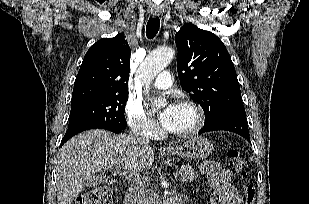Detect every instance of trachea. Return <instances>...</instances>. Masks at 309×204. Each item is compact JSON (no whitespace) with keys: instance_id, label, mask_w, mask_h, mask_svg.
Here are the masks:
<instances>
[{"instance_id":"obj_1","label":"trachea","mask_w":309,"mask_h":204,"mask_svg":"<svg viewBox=\"0 0 309 204\" xmlns=\"http://www.w3.org/2000/svg\"><path fill=\"white\" fill-rule=\"evenodd\" d=\"M160 27V19L158 17H150L147 26H146V35L149 39H152L156 36Z\"/></svg>"}]
</instances>
